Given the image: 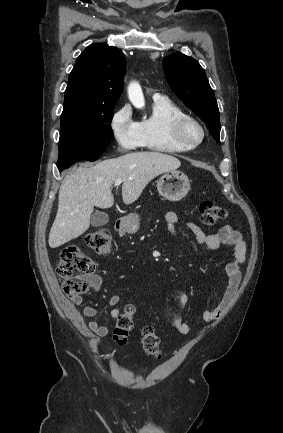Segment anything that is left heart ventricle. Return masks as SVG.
Masks as SVG:
<instances>
[{
	"instance_id": "obj_1",
	"label": "left heart ventricle",
	"mask_w": 283,
	"mask_h": 433,
	"mask_svg": "<svg viewBox=\"0 0 283 433\" xmlns=\"http://www.w3.org/2000/svg\"><path fill=\"white\" fill-rule=\"evenodd\" d=\"M199 137H200L199 130L194 125L191 124L186 126L182 132V138L187 143H192L196 141Z\"/></svg>"
}]
</instances>
